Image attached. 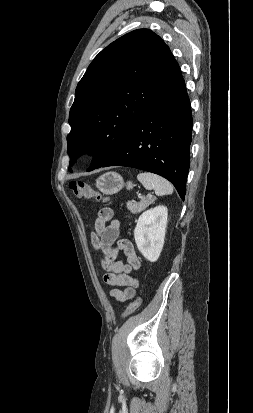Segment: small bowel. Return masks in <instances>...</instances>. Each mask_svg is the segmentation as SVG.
<instances>
[{
  "instance_id": "1",
  "label": "small bowel",
  "mask_w": 253,
  "mask_h": 413,
  "mask_svg": "<svg viewBox=\"0 0 253 413\" xmlns=\"http://www.w3.org/2000/svg\"><path fill=\"white\" fill-rule=\"evenodd\" d=\"M120 221L114 218L111 208H102L96 217L94 231L91 234L92 246L102 253V266L105 270L104 281L112 287L110 295L118 301L131 300L136 295L138 279L132 273L141 266L132 242L118 239ZM123 252L126 262L117 260Z\"/></svg>"
}]
</instances>
